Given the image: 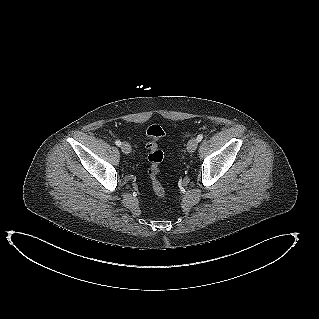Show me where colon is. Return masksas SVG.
Returning a JSON list of instances; mask_svg holds the SVG:
<instances>
[{
	"label": "colon",
	"instance_id": "1",
	"mask_svg": "<svg viewBox=\"0 0 319 319\" xmlns=\"http://www.w3.org/2000/svg\"><path fill=\"white\" fill-rule=\"evenodd\" d=\"M146 134L149 138V141L146 143V149L148 150V161L150 164L148 174L152 189L157 197L164 198L166 188L160 179V164L163 161L164 153L160 149L158 141L164 136L165 132L160 125L153 124L147 128Z\"/></svg>",
	"mask_w": 319,
	"mask_h": 319
}]
</instances>
